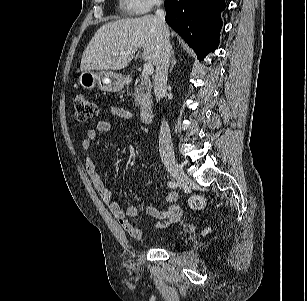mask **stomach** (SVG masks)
<instances>
[{
	"mask_svg": "<svg viewBox=\"0 0 307 301\" xmlns=\"http://www.w3.org/2000/svg\"><path fill=\"white\" fill-rule=\"evenodd\" d=\"M127 79L115 72L101 70L94 72L91 70L82 71L78 83L83 89L90 90L97 86L102 91H120L126 84Z\"/></svg>",
	"mask_w": 307,
	"mask_h": 301,
	"instance_id": "1",
	"label": "stomach"
}]
</instances>
